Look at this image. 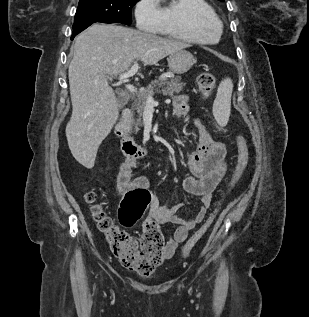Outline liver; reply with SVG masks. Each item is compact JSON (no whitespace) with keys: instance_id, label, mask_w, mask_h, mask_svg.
<instances>
[{"instance_id":"6515ba94","label":"liver","mask_w":309,"mask_h":317,"mask_svg":"<svg viewBox=\"0 0 309 317\" xmlns=\"http://www.w3.org/2000/svg\"><path fill=\"white\" fill-rule=\"evenodd\" d=\"M189 47L181 41L159 37L118 25L93 24L75 39L68 77L72 116L66 126L73 157L92 168L97 150L119 116L118 100L109 76L129 69L136 60L154 65Z\"/></svg>"}]
</instances>
